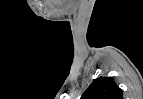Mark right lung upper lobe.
<instances>
[{
    "mask_svg": "<svg viewBox=\"0 0 143 99\" xmlns=\"http://www.w3.org/2000/svg\"><path fill=\"white\" fill-rule=\"evenodd\" d=\"M81 99H122V90L112 77H99L86 89Z\"/></svg>",
    "mask_w": 143,
    "mask_h": 99,
    "instance_id": "cb5924a9",
    "label": "right lung upper lobe"
}]
</instances>
